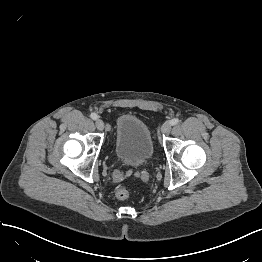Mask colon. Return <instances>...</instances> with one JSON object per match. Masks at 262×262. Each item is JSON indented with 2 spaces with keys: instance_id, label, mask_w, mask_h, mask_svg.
<instances>
[{
  "instance_id": "colon-1",
  "label": "colon",
  "mask_w": 262,
  "mask_h": 262,
  "mask_svg": "<svg viewBox=\"0 0 262 262\" xmlns=\"http://www.w3.org/2000/svg\"><path fill=\"white\" fill-rule=\"evenodd\" d=\"M115 195H116V197H117L119 200H127V199H129V197H130V193H129L128 189H126L125 187H119V188L116 190Z\"/></svg>"
}]
</instances>
